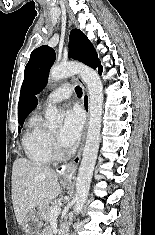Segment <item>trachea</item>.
Returning <instances> with one entry per match:
<instances>
[{"label":"trachea","mask_w":155,"mask_h":235,"mask_svg":"<svg viewBox=\"0 0 155 235\" xmlns=\"http://www.w3.org/2000/svg\"><path fill=\"white\" fill-rule=\"evenodd\" d=\"M75 91H76V94H77L78 97H81V96H82V88H80L79 86H77L76 89H75Z\"/></svg>","instance_id":"obj_1"}]
</instances>
